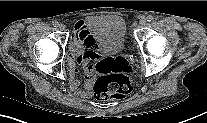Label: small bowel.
Masks as SVG:
<instances>
[{"label":"small bowel","mask_w":207,"mask_h":123,"mask_svg":"<svg viewBox=\"0 0 207 123\" xmlns=\"http://www.w3.org/2000/svg\"><path fill=\"white\" fill-rule=\"evenodd\" d=\"M83 47L87 50L84 51ZM98 58L96 43L83 20L75 24V36L70 42L69 47V86L76 96L81 98H90L92 96V87L94 81L95 65L90 61ZM82 66L85 73L84 89H81V83L77 79V66Z\"/></svg>","instance_id":"c3829d8e"}]
</instances>
